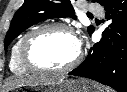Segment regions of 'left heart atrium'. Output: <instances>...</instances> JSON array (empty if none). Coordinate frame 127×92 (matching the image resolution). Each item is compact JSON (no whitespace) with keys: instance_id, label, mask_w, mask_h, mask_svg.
<instances>
[{"instance_id":"obj_1","label":"left heart atrium","mask_w":127,"mask_h":92,"mask_svg":"<svg viewBox=\"0 0 127 92\" xmlns=\"http://www.w3.org/2000/svg\"><path fill=\"white\" fill-rule=\"evenodd\" d=\"M76 41H77L78 49H80V47H81V41L79 39H76Z\"/></svg>"}]
</instances>
